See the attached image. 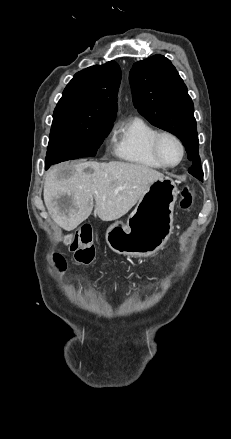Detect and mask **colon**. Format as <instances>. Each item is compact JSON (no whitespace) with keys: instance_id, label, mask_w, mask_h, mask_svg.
<instances>
[{"instance_id":"obj_1","label":"colon","mask_w":231,"mask_h":439,"mask_svg":"<svg viewBox=\"0 0 231 439\" xmlns=\"http://www.w3.org/2000/svg\"><path fill=\"white\" fill-rule=\"evenodd\" d=\"M192 199V189L190 187L185 188L180 200V207L182 209L189 208L192 204ZM70 249L74 252L75 259L78 263L88 265L93 261L95 257V247L93 244V231L89 225L83 226L77 231ZM54 261L59 271L64 270L65 263L61 256H55Z\"/></svg>"}]
</instances>
